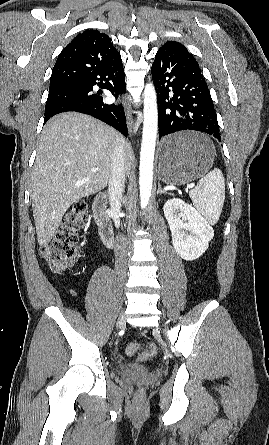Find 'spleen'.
Here are the masks:
<instances>
[{"instance_id":"obj_1","label":"spleen","mask_w":269,"mask_h":445,"mask_svg":"<svg viewBox=\"0 0 269 445\" xmlns=\"http://www.w3.org/2000/svg\"><path fill=\"white\" fill-rule=\"evenodd\" d=\"M195 208L210 225L220 217L225 200V181L222 171L214 168L202 177L197 186L189 192Z\"/></svg>"}]
</instances>
